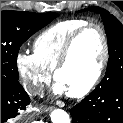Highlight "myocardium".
I'll return each instance as SVG.
<instances>
[{"label":"myocardium","instance_id":"obj_1","mask_svg":"<svg viewBox=\"0 0 123 123\" xmlns=\"http://www.w3.org/2000/svg\"><path fill=\"white\" fill-rule=\"evenodd\" d=\"M91 28L97 29L101 36L102 47H103L101 60H100L98 69H97L95 75L93 76V78L91 79V81L82 89L68 93V95L70 97L79 98V97H83V96H86L87 94H89L99 84V82L104 74L108 60H109V41H108V37H107V34H106L104 28L99 23H96V22L86 23L83 26H81L80 28H78L75 32H73L66 40V42L62 48L60 57L53 69L54 79L55 80L58 79L59 72L67 64V62L70 58L73 46H74L75 42L77 41V39L84 32H86L87 30H89Z\"/></svg>","mask_w":123,"mask_h":123}]
</instances>
